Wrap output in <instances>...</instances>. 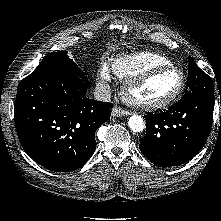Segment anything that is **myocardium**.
Listing matches in <instances>:
<instances>
[{"label":"myocardium","instance_id":"f54148a6","mask_svg":"<svg viewBox=\"0 0 221 221\" xmlns=\"http://www.w3.org/2000/svg\"><path fill=\"white\" fill-rule=\"evenodd\" d=\"M166 71H176L180 74L181 77L179 86L170 96L157 101H138L132 97V91L134 88L152 78L153 76ZM185 85L186 76L181 68L175 65L159 66L145 70L133 77L128 78L122 87V97L125 103H127L131 107L141 110H156L164 108L176 101L182 94Z\"/></svg>","mask_w":221,"mask_h":221}]
</instances>
